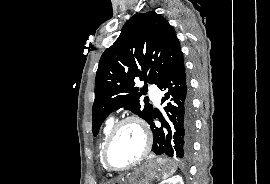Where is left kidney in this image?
Wrapping results in <instances>:
<instances>
[{"label": "left kidney", "mask_w": 270, "mask_h": 184, "mask_svg": "<svg viewBox=\"0 0 270 184\" xmlns=\"http://www.w3.org/2000/svg\"><path fill=\"white\" fill-rule=\"evenodd\" d=\"M159 184H184V182H183L182 177L177 175V176H173L169 179H166Z\"/></svg>", "instance_id": "obj_1"}]
</instances>
